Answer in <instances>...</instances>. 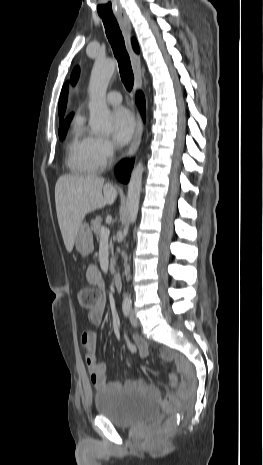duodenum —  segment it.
<instances>
[{"mask_svg":"<svg viewBox=\"0 0 263 465\" xmlns=\"http://www.w3.org/2000/svg\"><path fill=\"white\" fill-rule=\"evenodd\" d=\"M113 283H114L116 290L120 291L122 288V282H121V276L117 272L113 274Z\"/></svg>","mask_w":263,"mask_h":465,"instance_id":"obj_1","label":"duodenum"}]
</instances>
